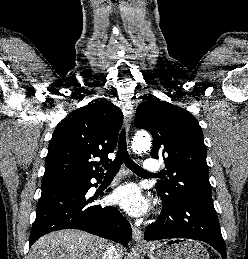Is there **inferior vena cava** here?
Instances as JSON below:
<instances>
[{"label": "inferior vena cava", "mask_w": 248, "mask_h": 259, "mask_svg": "<svg viewBox=\"0 0 248 259\" xmlns=\"http://www.w3.org/2000/svg\"><path fill=\"white\" fill-rule=\"evenodd\" d=\"M118 252L113 244H108L103 253L102 259H118Z\"/></svg>", "instance_id": "602c4592"}]
</instances>
